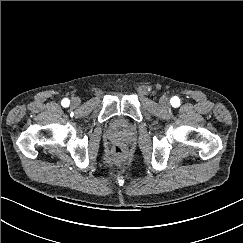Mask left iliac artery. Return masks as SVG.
Returning <instances> with one entry per match:
<instances>
[{
  "instance_id": "44dca946",
  "label": "left iliac artery",
  "mask_w": 243,
  "mask_h": 243,
  "mask_svg": "<svg viewBox=\"0 0 243 243\" xmlns=\"http://www.w3.org/2000/svg\"><path fill=\"white\" fill-rule=\"evenodd\" d=\"M170 102H171L172 106H174V107H177L180 105V99L178 97H173Z\"/></svg>"
}]
</instances>
